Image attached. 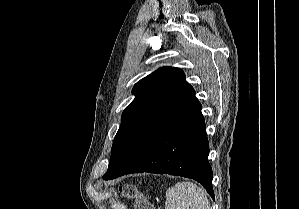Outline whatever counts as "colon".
<instances>
[{"label": "colon", "instance_id": "obj_1", "mask_svg": "<svg viewBox=\"0 0 299 209\" xmlns=\"http://www.w3.org/2000/svg\"><path fill=\"white\" fill-rule=\"evenodd\" d=\"M119 191L123 196L134 199V209H153L148 199L138 193L134 185H123L119 187Z\"/></svg>", "mask_w": 299, "mask_h": 209}]
</instances>
